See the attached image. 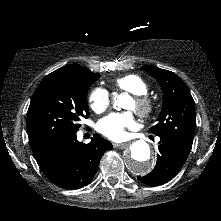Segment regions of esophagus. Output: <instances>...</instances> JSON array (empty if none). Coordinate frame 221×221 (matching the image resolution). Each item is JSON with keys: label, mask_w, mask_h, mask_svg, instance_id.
<instances>
[{"label": "esophagus", "mask_w": 221, "mask_h": 221, "mask_svg": "<svg viewBox=\"0 0 221 221\" xmlns=\"http://www.w3.org/2000/svg\"><path fill=\"white\" fill-rule=\"evenodd\" d=\"M127 145L128 143H113L114 148H123Z\"/></svg>", "instance_id": "obj_1"}]
</instances>
